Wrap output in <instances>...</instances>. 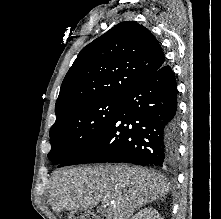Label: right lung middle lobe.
I'll list each match as a JSON object with an SVG mask.
<instances>
[{"label": "right lung middle lobe", "instance_id": "dd1d6c3e", "mask_svg": "<svg viewBox=\"0 0 221 219\" xmlns=\"http://www.w3.org/2000/svg\"><path fill=\"white\" fill-rule=\"evenodd\" d=\"M121 98H103L77 105L56 118L50 130L48 158L62 164L88 146L108 124Z\"/></svg>", "mask_w": 221, "mask_h": 219}]
</instances>
